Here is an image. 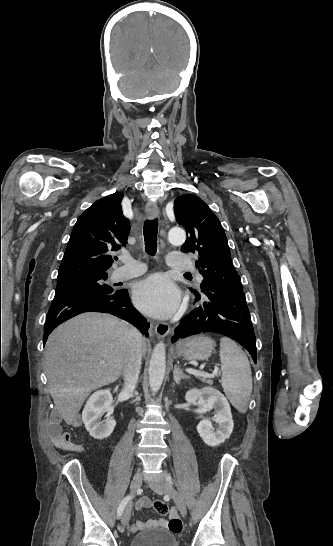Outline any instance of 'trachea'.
<instances>
[{"label": "trachea", "instance_id": "trachea-1", "mask_svg": "<svg viewBox=\"0 0 333 546\" xmlns=\"http://www.w3.org/2000/svg\"><path fill=\"white\" fill-rule=\"evenodd\" d=\"M157 231H158V220H147L144 223V241H145V251L154 256L157 251ZM189 274V273H186Z\"/></svg>", "mask_w": 333, "mask_h": 546}]
</instances>
